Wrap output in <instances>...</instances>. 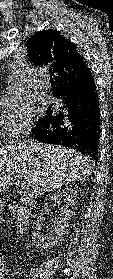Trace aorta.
I'll return each mask as SVG.
<instances>
[{
    "instance_id": "aorta-1",
    "label": "aorta",
    "mask_w": 113,
    "mask_h": 279,
    "mask_svg": "<svg viewBox=\"0 0 113 279\" xmlns=\"http://www.w3.org/2000/svg\"><path fill=\"white\" fill-rule=\"evenodd\" d=\"M10 93L14 96H16L18 94V88L16 87H11L10 88Z\"/></svg>"
}]
</instances>
